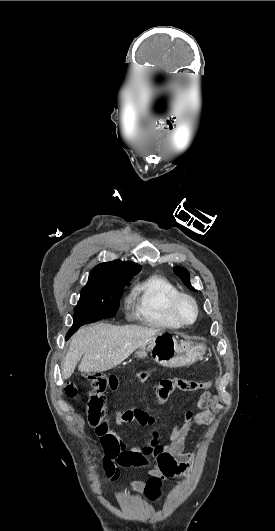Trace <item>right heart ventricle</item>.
Instances as JSON below:
<instances>
[{"mask_svg": "<svg viewBox=\"0 0 275 531\" xmlns=\"http://www.w3.org/2000/svg\"><path fill=\"white\" fill-rule=\"evenodd\" d=\"M177 292L176 287L166 278L151 275L134 288L135 312L145 322L163 328H178L168 307L169 299Z\"/></svg>", "mask_w": 275, "mask_h": 531, "instance_id": "right-heart-ventricle-1", "label": "right heart ventricle"}]
</instances>
